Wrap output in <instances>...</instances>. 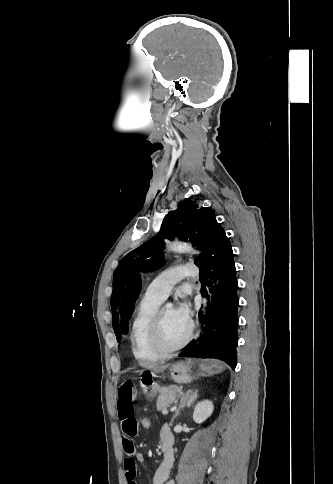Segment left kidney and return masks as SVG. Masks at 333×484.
<instances>
[{
    "label": "left kidney",
    "instance_id": "obj_1",
    "mask_svg": "<svg viewBox=\"0 0 333 484\" xmlns=\"http://www.w3.org/2000/svg\"><path fill=\"white\" fill-rule=\"evenodd\" d=\"M213 409V403L209 400L197 403L193 413V420L198 424L203 423L211 416Z\"/></svg>",
    "mask_w": 333,
    "mask_h": 484
}]
</instances>
